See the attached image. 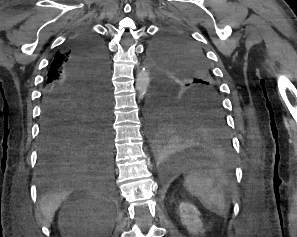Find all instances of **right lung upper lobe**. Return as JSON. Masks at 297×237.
<instances>
[{"instance_id":"obj_1","label":"right lung upper lobe","mask_w":297,"mask_h":237,"mask_svg":"<svg viewBox=\"0 0 297 237\" xmlns=\"http://www.w3.org/2000/svg\"><path fill=\"white\" fill-rule=\"evenodd\" d=\"M70 58L71 53L68 47L62 53L57 52L48 72L46 87L69 82L68 63Z\"/></svg>"}]
</instances>
